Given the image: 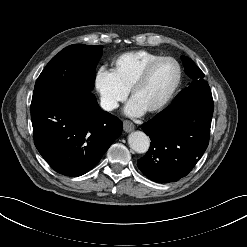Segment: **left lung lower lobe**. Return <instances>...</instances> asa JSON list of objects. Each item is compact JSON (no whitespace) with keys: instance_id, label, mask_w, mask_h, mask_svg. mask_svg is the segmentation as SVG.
Instances as JSON below:
<instances>
[{"instance_id":"1","label":"left lung lower lobe","mask_w":247,"mask_h":247,"mask_svg":"<svg viewBox=\"0 0 247 247\" xmlns=\"http://www.w3.org/2000/svg\"><path fill=\"white\" fill-rule=\"evenodd\" d=\"M212 115L211 90L203 85L144 123L151 144L137 161L141 172L158 183L188 175L207 149Z\"/></svg>"}]
</instances>
